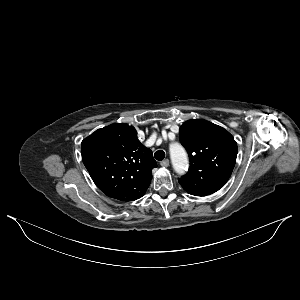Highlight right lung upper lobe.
Wrapping results in <instances>:
<instances>
[{"label":"right lung upper lobe","mask_w":300,"mask_h":300,"mask_svg":"<svg viewBox=\"0 0 300 300\" xmlns=\"http://www.w3.org/2000/svg\"><path fill=\"white\" fill-rule=\"evenodd\" d=\"M133 126L112 124L81 143L82 160L92 180L107 196L134 201L144 195L157 167L152 151L140 143Z\"/></svg>","instance_id":"1"}]
</instances>
